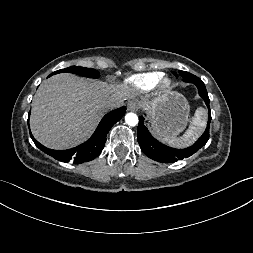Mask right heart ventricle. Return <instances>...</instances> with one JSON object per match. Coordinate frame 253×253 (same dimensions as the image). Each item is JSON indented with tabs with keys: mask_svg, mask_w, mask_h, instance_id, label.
<instances>
[{
	"mask_svg": "<svg viewBox=\"0 0 253 253\" xmlns=\"http://www.w3.org/2000/svg\"><path fill=\"white\" fill-rule=\"evenodd\" d=\"M162 76V72H147L131 76L126 82L138 92H146L154 88Z\"/></svg>",
	"mask_w": 253,
	"mask_h": 253,
	"instance_id": "e07e8e85",
	"label": "right heart ventricle"
}]
</instances>
